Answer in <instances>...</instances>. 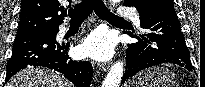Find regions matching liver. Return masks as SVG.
<instances>
[{
    "label": "liver",
    "instance_id": "1",
    "mask_svg": "<svg viewBox=\"0 0 205 87\" xmlns=\"http://www.w3.org/2000/svg\"><path fill=\"white\" fill-rule=\"evenodd\" d=\"M6 87H71V85L54 71L28 67L15 74Z\"/></svg>",
    "mask_w": 205,
    "mask_h": 87
}]
</instances>
